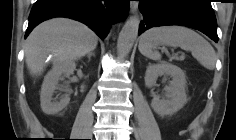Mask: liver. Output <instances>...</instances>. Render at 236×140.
<instances>
[{
    "mask_svg": "<svg viewBox=\"0 0 236 140\" xmlns=\"http://www.w3.org/2000/svg\"><path fill=\"white\" fill-rule=\"evenodd\" d=\"M97 43V35L86 25L66 18L51 19L29 35L25 45L26 64L32 75H40L50 53L54 54V64L62 63L85 56Z\"/></svg>",
    "mask_w": 236,
    "mask_h": 140,
    "instance_id": "liver-1",
    "label": "liver"
}]
</instances>
